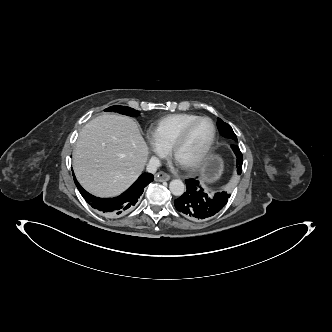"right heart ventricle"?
Segmentation results:
<instances>
[{
    "label": "right heart ventricle",
    "mask_w": 332,
    "mask_h": 332,
    "mask_svg": "<svg viewBox=\"0 0 332 332\" xmlns=\"http://www.w3.org/2000/svg\"><path fill=\"white\" fill-rule=\"evenodd\" d=\"M198 117L187 113L167 115L152 126L151 133L163 146L170 149L181 130Z\"/></svg>",
    "instance_id": "right-heart-ventricle-1"
}]
</instances>
